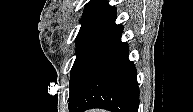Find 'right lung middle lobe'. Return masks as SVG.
<instances>
[{
  "mask_svg": "<svg viewBox=\"0 0 193 112\" xmlns=\"http://www.w3.org/2000/svg\"><path fill=\"white\" fill-rule=\"evenodd\" d=\"M115 32L97 30V29H81L76 38L77 58L71 70L70 91L75 85L78 77L90 62V60L100 50L110 42L116 35Z\"/></svg>",
  "mask_w": 193,
  "mask_h": 112,
  "instance_id": "right-lung-middle-lobe-1",
  "label": "right lung middle lobe"
}]
</instances>
